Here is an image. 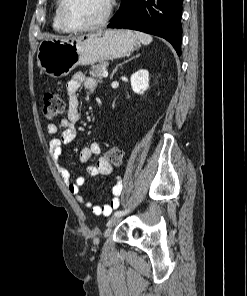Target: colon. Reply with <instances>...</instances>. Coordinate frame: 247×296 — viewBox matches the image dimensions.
<instances>
[{"label":"colon","mask_w":247,"mask_h":296,"mask_svg":"<svg viewBox=\"0 0 247 296\" xmlns=\"http://www.w3.org/2000/svg\"><path fill=\"white\" fill-rule=\"evenodd\" d=\"M65 104L58 93L48 92L44 96L43 115L48 120H55L64 113ZM105 159L114 167L119 168L123 164V155L119 148L112 147L106 154Z\"/></svg>","instance_id":"obj_1"}]
</instances>
